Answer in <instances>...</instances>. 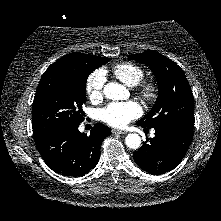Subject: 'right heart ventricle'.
Returning a JSON list of instances; mask_svg holds the SVG:
<instances>
[{"instance_id": "obj_1", "label": "right heart ventricle", "mask_w": 221, "mask_h": 221, "mask_svg": "<svg viewBox=\"0 0 221 221\" xmlns=\"http://www.w3.org/2000/svg\"><path fill=\"white\" fill-rule=\"evenodd\" d=\"M113 75L129 87L136 86L144 78L142 67L131 62H122L112 68Z\"/></svg>"}]
</instances>
